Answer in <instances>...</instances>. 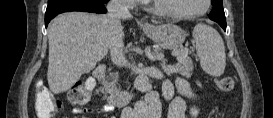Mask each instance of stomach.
<instances>
[{"instance_id":"1","label":"stomach","mask_w":273,"mask_h":118,"mask_svg":"<svg viewBox=\"0 0 273 118\" xmlns=\"http://www.w3.org/2000/svg\"><path fill=\"white\" fill-rule=\"evenodd\" d=\"M143 29L149 38L164 49L178 48L186 38V32L174 24L147 25Z\"/></svg>"}]
</instances>
